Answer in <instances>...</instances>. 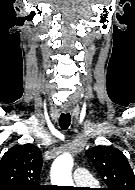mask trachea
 Wrapping results in <instances>:
<instances>
[{
  "label": "trachea",
  "instance_id": "3493384b",
  "mask_svg": "<svg viewBox=\"0 0 135 190\" xmlns=\"http://www.w3.org/2000/svg\"><path fill=\"white\" fill-rule=\"evenodd\" d=\"M71 122V116L69 113H62L60 116L59 124L63 130L68 129Z\"/></svg>",
  "mask_w": 135,
  "mask_h": 190
}]
</instances>
